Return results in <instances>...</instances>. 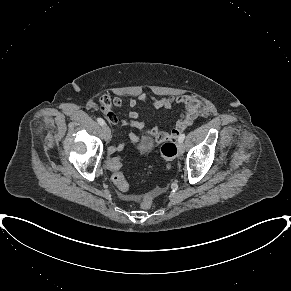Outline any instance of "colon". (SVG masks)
Wrapping results in <instances>:
<instances>
[{
  "instance_id": "5ec220e1",
  "label": "colon",
  "mask_w": 291,
  "mask_h": 291,
  "mask_svg": "<svg viewBox=\"0 0 291 291\" xmlns=\"http://www.w3.org/2000/svg\"><path fill=\"white\" fill-rule=\"evenodd\" d=\"M161 156L166 161L167 166L170 167L171 163L177 156V147L173 141H166L160 149ZM108 169L111 172V180L117 189L121 192H126L129 189V184L122 173V162L118 157H112L108 161ZM153 206V195L146 193L140 198V207L144 210L150 209Z\"/></svg>"
}]
</instances>
